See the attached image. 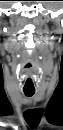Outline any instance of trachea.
<instances>
[{
    "label": "trachea",
    "instance_id": "1",
    "mask_svg": "<svg viewBox=\"0 0 63 130\" xmlns=\"http://www.w3.org/2000/svg\"><path fill=\"white\" fill-rule=\"evenodd\" d=\"M26 97H32L34 95V92H24Z\"/></svg>",
    "mask_w": 63,
    "mask_h": 130
}]
</instances>
